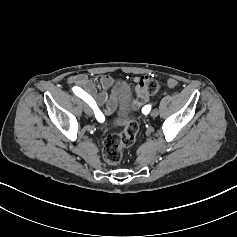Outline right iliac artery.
<instances>
[{"instance_id":"1","label":"right iliac artery","mask_w":237,"mask_h":237,"mask_svg":"<svg viewBox=\"0 0 237 237\" xmlns=\"http://www.w3.org/2000/svg\"><path fill=\"white\" fill-rule=\"evenodd\" d=\"M72 90L78 97L89 104V106L94 110L95 117L98 121L99 119H102V121H104V115L98 110L95 100L88 93L77 86L73 87Z\"/></svg>"}]
</instances>
